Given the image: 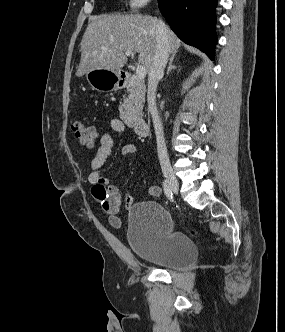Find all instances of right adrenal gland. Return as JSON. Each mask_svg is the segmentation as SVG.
<instances>
[{
    "label": "right adrenal gland",
    "mask_w": 285,
    "mask_h": 332,
    "mask_svg": "<svg viewBox=\"0 0 285 332\" xmlns=\"http://www.w3.org/2000/svg\"><path fill=\"white\" fill-rule=\"evenodd\" d=\"M175 54H176V53H172V55H171V58H170V61H169L168 67H167V71H166V74H167V75L170 73V71H171L172 69H175V68H176V66L173 64Z\"/></svg>",
    "instance_id": "right-adrenal-gland-1"
}]
</instances>
